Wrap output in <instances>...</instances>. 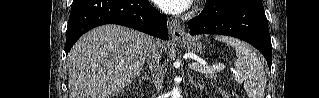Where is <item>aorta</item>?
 <instances>
[{
	"mask_svg": "<svg viewBox=\"0 0 319 98\" xmlns=\"http://www.w3.org/2000/svg\"><path fill=\"white\" fill-rule=\"evenodd\" d=\"M171 98H181V91L179 87H174L171 91Z\"/></svg>",
	"mask_w": 319,
	"mask_h": 98,
	"instance_id": "aorta-1",
	"label": "aorta"
}]
</instances>
